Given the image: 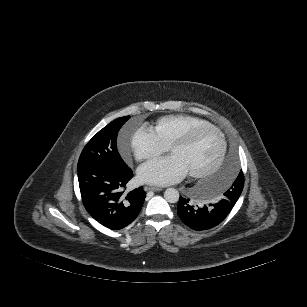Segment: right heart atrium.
Instances as JSON below:
<instances>
[{
	"mask_svg": "<svg viewBox=\"0 0 307 307\" xmlns=\"http://www.w3.org/2000/svg\"><path fill=\"white\" fill-rule=\"evenodd\" d=\"M128 147L138 161L155 158L167 150V146L160 141L155 132L147 127L135 129L120 143L122 153H125Z\"/></svg>",
	"mask_w": 307,
	"mask_h": 307,
	"instance_id": "1",
	"label": "right heart atrium"
}]
</instances>
